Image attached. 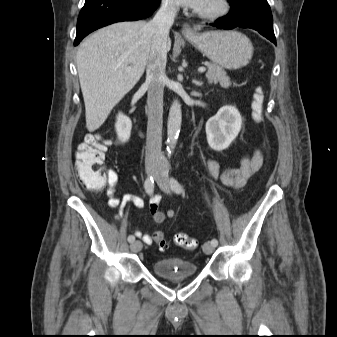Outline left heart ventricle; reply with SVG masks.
Returning a JSON list of instances; mask_svg holds the SVG:
<instances>
[{"mask_svg":"<svg viewBox=\"0 0 337 337\" xmlns=\"http://www.w3.org/2000/svg\"><path fill=\"white\" fill-rule=\"evenodd\" d=\"M214 0H208L206 5L201 10H208L214 6Z\"/></svg>","mask_w":337,"mask_h":337,"instance_id":"left-heart-ventricle-1","label":"left heart ventricle"}]
</instances>
